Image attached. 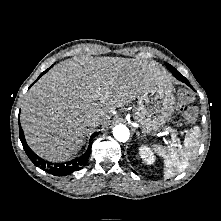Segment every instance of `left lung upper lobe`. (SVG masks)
<instances>
[{
	"label": "left lung upper lobe",
	"instance_id": "5c2ea615",
	"mask_svg": "<svg viewBox=\"0 0 221 221\" xmlns=\"http://www.w3.org/2000/svg\"><path fill=\"white\" fill-rule=\"evenodd\" d=\"M165 65H166V67L171 71V73H172L173 75L179 73V72H178L173 66H171L170 64L166 63Z\"/></svg>",
	"mask_w": 221,
	"mask_h": 221
}]
</instances>
